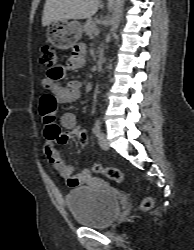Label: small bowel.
<instances>
[{
    "mask_svg": "<svg viewBox=\"0 0 194 250\" xmlns=\"http://www.w3.org/2000/svg\"><path fill=\"white\" fill-rule=\"evenodd\" d=\"M86 47L83 44L74 48L73 55L69 58L61 72L66 70L79 69L84 64ZM44 86L54 95L58 103H71L78 100L82 93V83L71 81L67 85H62L52 80L51 77L43 81ZM44 123L43 136L45 139L44 151L51 166L63 177L70 187H77L92 181L91 172L84 168L79 174L74 173V166L68 163L64 157L56 150L55 142L66 144L72 137V130L76 125V116L72 113H64L60 117L61 125L67 130L62 133L56 123V111L42 113ZM81 140L87 144L88 137L85 132L80 134Z\"/></svg>",
    "mask_w": 194,
    "mask_h": 250,
    "instance_id": "obj_1",
    "label": "small bowel"
}]
</instances>
